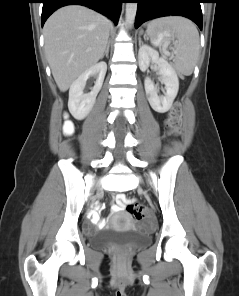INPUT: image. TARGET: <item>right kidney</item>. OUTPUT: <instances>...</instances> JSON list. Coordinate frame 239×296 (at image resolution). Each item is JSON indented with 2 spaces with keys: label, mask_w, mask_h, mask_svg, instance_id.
<instances>
[{
  "label": "right kidney",
  "mask_w": 239,
  "mask_h": 296,
  "mask_svg": "<svg viewBox=\"0 0 239 296\" xmlns=\"http://www.w3.org/2000/svg\"><path fill=\"white\" fill-rule=\"evenodd\" d=\"M106 71L107 64L99 62L84 71L72 83L69 90L68 108L74 118L82 120L89 114L102 87ZM91 76H95L97 79L91 92L85 94L83 90L88 78Z\"/></svg>",
  "instance_id": "right-kidney-1"
}]
</instances>
